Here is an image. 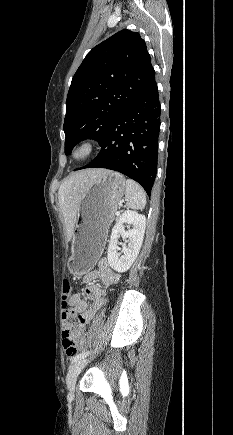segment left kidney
Instances as JSON below:
<instances>
[{
	"label": "left kidney",
	"mask_w": 233,
	"mask_h": 435,
	"mask_svg": "<svg viewBox=\"0 0 233 435\" xmlns=\"http://www.w3.org/2000/svg\"><path fill=\"white\" fill-rule=\"evenodd\" d=\"M126 223L132 225V229L125 231L124 224ZM145 226V216L136 211L126 210L120 216L112 229L107 252L108 263L112 269L123 273L131 267L142 246ZM120 237L128 238V245L123 244L122 246L123 255L118 252L120 250L118 247Z\"/></svg>",
	"instance_id": "5707ae66"
}]
</instances>
